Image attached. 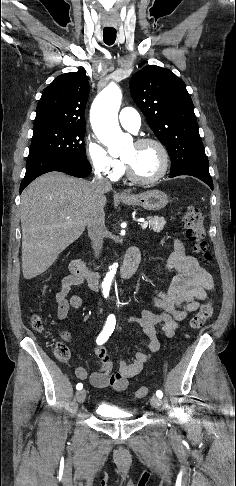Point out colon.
Wrapping results in <instances>:
<instances>
[{
	"mask_svg": "<svg viewBox=\"0 0 236 486\" xmlns=\"http://www.w3.org/2000/svg\"><path fill=\"white\" fill-rule=\"evenodd\" d=\"M183 226L186 238L193 243L194 252L199 255L202 262H208L211 259L208 243L206 241V232L204 228V216L202 211L193 205L188 206L183 214ZM213 314V306L210 302L201 305L199 311L191 318L190 327L193 330L200 329L210 319ZM32 327L36 331H42L43 325L41 318L37 315L31 319ZM55 354L58 359L65 361L69 358L70 352L68 347L59 342L55 346ZM149 387L142 386L135 392V397L140 399L149 393Z\"/></svg>",
	"mask_w": 236,
	"mask_h": 486,
	"instance_id": "5ec220e1",
	"label": "colon"
}]
</instances>
